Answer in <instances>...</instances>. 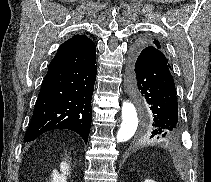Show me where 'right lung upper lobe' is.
<instances>
[{
	"mask_svg": "<svg viewBox=\"0 0 211 182\" xmlns=\"http://www.w3.org/2000/svg\"><path fill=\"white\" fill-rule=\"evenodd\" d=\"M80 35H75V36H73L72 38H75V37H79Z\"/></svg>",
	"mask_w": 211,
	"mask_h": 182,
	"instance_id": "cb5924a9",
	"label": "right lung upper lobe"
}]
</instances>
